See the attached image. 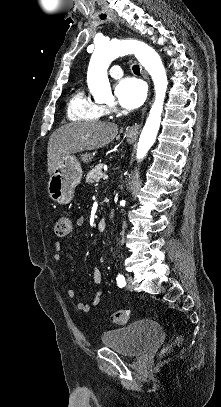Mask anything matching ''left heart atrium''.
I'll use <instances>...</instances> for the list:
<instances>
[{"label": "left heart atrium", "mask_w": 221, "mask_h": 407, "mask_svg": "<svg viewBox=\"0 0 221 407\" xmlns=\"http://www.w3.org/2000/svg\"><path fill=\"white\" fill-rule=\"evenodd\" d=\"M115 95L123 108L133 110L144 102L146 87L141 79L126 77L116 84Z\"/></svg>", "instance_id": "obj_1"}]
</instances>
